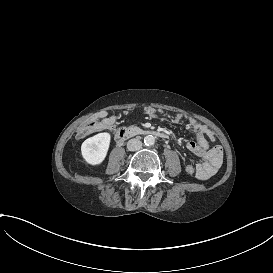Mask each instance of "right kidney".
<instances>
[{
	"label": "right kidney",
	"mask_w": 273,
	"mask_h": 273,
	"mask_svg": "<svg viewBox=\"0 0 273 273\" xmlns=\"http://www.w3.org/2000/svg\"><path fill=\"white\" fill-rule=\"evenodd\" d=\"M111 143L109 132H100L87 138L81 145V155L84 161L91 166H100L104 163Z\"/></svg>",
	"instance_id": "right-kidney-1"
}]
</instances>
